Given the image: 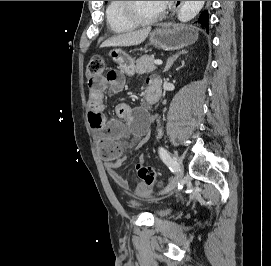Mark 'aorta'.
I'll return each instance as SVG.
<instances>
[{
    "mask_svg": "<svg viewBox=\"0 0 271 266\" xmlns=\"http://www.w3.org/2000/svg\"><path fill=\"white\" fill-rule=\"evenodd\" d=\"M205 1H185L178 11L177 17L181 22H188L193 19L203 8ZM162 131L159 130V135Z\"/></svg>",
    "mask_w": 271,
    "mask_h": 266,
    "instance_id": "obj_1",
    "label": "aorta"
}]
</instances>
